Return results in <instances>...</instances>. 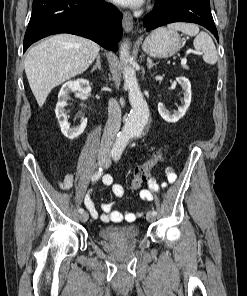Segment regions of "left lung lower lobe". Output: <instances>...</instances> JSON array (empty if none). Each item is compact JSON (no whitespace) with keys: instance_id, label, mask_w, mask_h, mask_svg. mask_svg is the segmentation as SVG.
<instances>
[{"instance_id":"0a47b994","label":"left lung lower lobe","mask_w":247,"mask_h":296,"mask_svg":"<svg viewBox=\"0 0 247 296\" xmlns=\"http://www.w3.org/2000/svg\"><path fill=\"white\" fill-rule=\"evenodd\" d=\"M153 10L145 16L144 31L173 22H192L204 26L218 40L209 0H155Z\"/></svg>"}]
</instances>
